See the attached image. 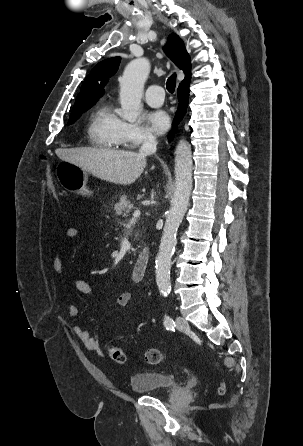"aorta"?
<instances>
[{
  "label": "aorta",
  "instance_id": "obj_1",
  "mask_svg": "<svg viewBox=\"0 0 303 446\" xmlns=\"http://www.w3.org/2000/svg\"><path fill=\"white\" fill-rule=\"evenodd\" d=\"M149 72L150 63L145 58L131 61L123 72L120 80L121 111L119 115L129 122H135L140 114L141 98ZM191 190V146L188 141L182 139L175 150V191L156 257V283L163 296H167L171 291V258L177 244L176 233L187 211Z\"/></svg>",
  "mask_w": 303,
  "mask_h": 446
}]
</instances>
